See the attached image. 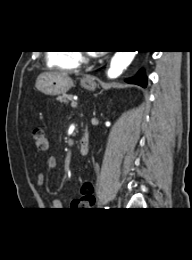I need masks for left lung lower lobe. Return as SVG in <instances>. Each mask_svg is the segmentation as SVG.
Returning a JSON list of instances; mask_svg holds the SVG:
<instances>
[{
    "label": "left lung lower lobe",
    "instance_id": "1",
    "mask_svg": "<svg viewBox=\"0 0 192 260\" xmlns=\"http://www.w3.org/2000/svg\"><path fill=\"white\" fill-rule=\"evenodd\" d=\"M127 82L138 84V85H141L142 87H146L147 78L145 76L144 71L140 70L135 77L128 79Z\"/></svg>",
    "mask_w": 192,
    "mask_h": 260
}]
</instances>
